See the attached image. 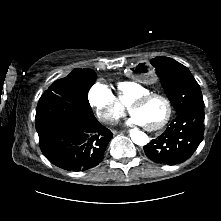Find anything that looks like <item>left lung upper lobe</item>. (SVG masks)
<instances>
[{
	"label": "left lung upper lobe",
	"mask_w": 221,
	"mask_h": 221,
	"mask_svg": "<svg viewBox=\"0 0 221 221\" xmlns=\"http://www.w3.org/2000/svg\"><path fill=\"white\" fill-rule=\"evenodd\" d=\"M151 64L156 68L177 114L192 107L204 106L200 86L187 67L164 56L152 59Z\"/></svg>",
	"instance_id": "5c2ea615"
}]
</instances>
